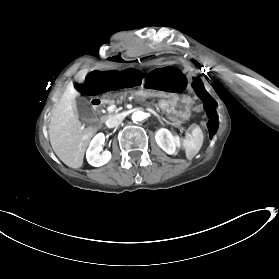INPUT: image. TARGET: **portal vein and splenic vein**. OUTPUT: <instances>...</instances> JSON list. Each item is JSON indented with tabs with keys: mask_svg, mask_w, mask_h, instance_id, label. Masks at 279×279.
I'll list each match as a JSON object with an SVG mask.
<instances>
[{
	"mask_svg": "<svg viewBox=\"0 0 279 279\" xmlns=\"http://www.w3.org/2000/svg\"><path fill=\"white\" fill-rule=\"evenodd\" d=\"M115 108H116V107H115L114 105H111V106L107 107L106 110H107L108 112H112V111L115 110ZM162 121L165 122L166 124L172 126V128L179 129V134H182L183 132L186 131V128H183V127L178 126V125H173V123H171L170 121H168V120L165 119V118H162Z\"/></svg>",
	"mask_w": 279,
	"mask_h": 279,
	"instance_id": "18ae733b",
	"label": "portal vein and splenic vein"
}]
</instances>
